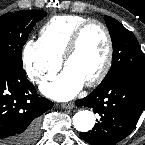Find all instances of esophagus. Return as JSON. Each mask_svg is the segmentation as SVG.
<instances>
[{
	"label": "esophagus",
	"instance_id": "34e87169",
	"mask_svg": "<svg viewBox=\"0 0 145 145\" xmlns=\"http://www.w3.org/2000/svg\"><path fill=\"white\" fill-rule=\"evenodd\" d=\"M60 106L63 109H72V108H74V103L73 102L63 103Z\"/></svg>",
	"mask_w": 145,
	"mask_h": 145
}]
</instances>
